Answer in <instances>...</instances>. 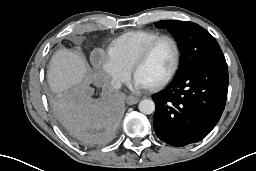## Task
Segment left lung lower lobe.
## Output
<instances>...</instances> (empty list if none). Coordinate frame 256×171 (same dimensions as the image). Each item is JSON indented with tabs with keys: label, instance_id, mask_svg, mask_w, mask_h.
<instances>
[{
	"label": "left lung lower lobe",
	"instance_id": "0a47b994",
	"mask_svg": "<svg viewBox=\"0 0 256 171\" xmlns=\"http://www.w3.org/2000/svg\"><path fill=\"white\" fill-rule=\"evenodd\" d=\"M227 90L226 61L199 64L176 75L166 89L152 96L157 136L177 147L203 139L221 117Z\"/></svg>",
	"mask_w": 256,
	"mask_h": 171
}]
</instances>
